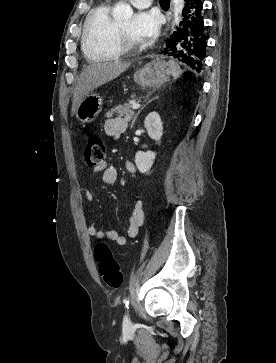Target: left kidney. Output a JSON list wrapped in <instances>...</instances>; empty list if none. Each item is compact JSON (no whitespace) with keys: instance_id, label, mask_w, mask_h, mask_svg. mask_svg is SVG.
Listing matches in <instances>:
<instances>
[{"instance_id":"5707ae66","label":"left kidney","mask_w":276,"mask_h":363,"mask_svg":"<svg viewBox=\"0 0 276 363\" xmlns=\"http://www.w3.org/2000/svg\"><path fill=\"white\" fill-rule=\"evenodd\" d=\"M144 126L151 139L159 142L163 135V124L157 112H151L145 118ZM156 153L153 151H138L135 155V164L140 173H147L155 160Z\"/></svg>"}]
</instances>
